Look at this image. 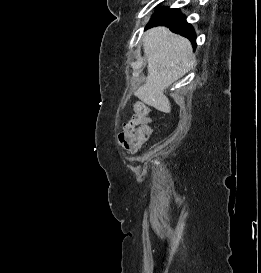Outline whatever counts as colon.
Instances as JSON below:
<instances>
[{
  "label": "colon",
  "mask_w": 261,
  "mask_h": 273,
  "mask_svg": "<svg viewBox=\"0 0 261 273\" xmlns=\"http://www.w3.org/2000/svg\"><path fill=\"white\" fill-rule=\"evenodd\" d=\"M133 109V118L120 132L118 140L124 148L135 152L149 139L154 121L145 104L136 102Z\"/></svg>",
  "instance_id": "1"
}]
</instances>
